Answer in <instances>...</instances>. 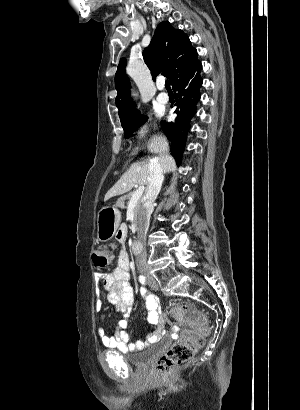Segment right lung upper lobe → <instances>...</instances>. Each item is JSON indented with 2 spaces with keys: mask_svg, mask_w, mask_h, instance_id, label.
I'll list each match as a JSON object with an SVG mask.
<instances>
[{
  "mask_svg": "<svg viewBox=\"0 0 300 410\" xmlns=\"http://www.w3.org/2000/svg\"><path fill=\"white\" fill-rule=\"evenodd\" d=\"M143 59L151 71L153 79L162 74L170 83L197 60V50L191 45L182 30H175L168 21L161 22L154 36L143 52ZM126 59L122 58L115 74L117 90L116 106L121 123L132 119L138 111L129 96V81L124 75Z\"/></svg>",
  "mask_w": 300,
  "mask_h": 410,
  "instance_id": "right-lung-upper-lobe-1",
  "label": "right lung upper lobe"
}]
</instances>
